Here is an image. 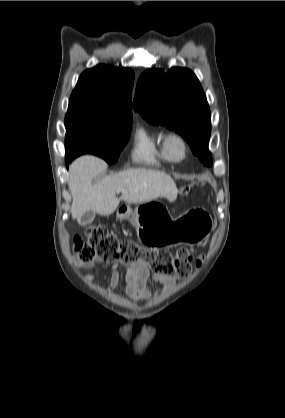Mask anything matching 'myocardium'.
<instances>
[{
  "instance_id": "obj_1",
  "label": "myocardium",
  "mask_w": 285,
  "mask_h": 418,
  "mask_svg": "<svg viewBox=\"0 0 285 418\" xmlns=\"http://www.w3.org/2000/svg\"><path fill=\"white\" fill-rule=\"evenodd\" d=\"M172 142H178L181 145L182 152H181V155L178 156V157L174 156L172 151H171V143ZM162 146H163V150L166 154V157L171 162H175V163L181 162L187 156V152H188L187 140L182 134H180L178 132L173 131V132L167 133L162 139Z\"/></svg>"
}]
</instances>
